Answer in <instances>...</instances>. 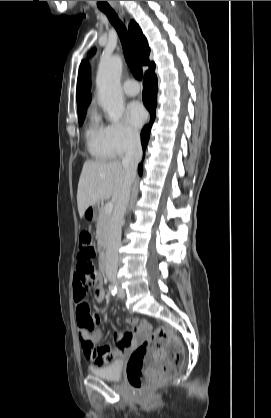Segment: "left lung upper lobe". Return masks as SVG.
Wrapping results in <instances>:
<instances>
[{"label": "left lung upper lobe", "mask_w": 271, "mask_h": 418, "mask_svg": "<svg viewBox=\"0 0 271 418\" xmlns=\"http://www.w3.org/2000/svg\"><path fill=\"white\" fill-rule=\"evenodd\" d=\"M93 53H94V51H91V52H90V55H92Z\"/></svg>", "instance_id": "1"}]
</instances>
